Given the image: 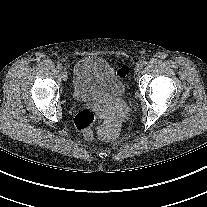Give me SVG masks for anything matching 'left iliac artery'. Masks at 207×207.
<instances>
[{"mask_svg":"<svg viewBox=\"0 0 207 207\" xmlns=\"http://www.w3.org/2000/svg\"><path fill=\"white\" fill-rule=\"evenodd\" d=\"M140 65H141V67H144L145 65H146V61H140Z\"/></svg>","mask_w":207,"mask_h":207,"instance_id":"1","label":"left iliac artery"}]
</instances>
